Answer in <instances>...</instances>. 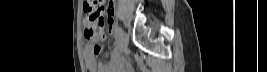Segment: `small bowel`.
I'll use <instances>...</instances> for the list:
<instances>
[{
    "mask_svg": "<svg viewBox=\"0 0 267 72\" xmlns=\"http://www.w3.org/2000/svg\"><path fill=\"white\" fill-rule=\"evenodd\" d=\"M114 12V6L113 4H109L107 8V14H108V22H111V16ZM113 58H118V53L114 52L113 53ZM84 58H85V63L90 72H113L114 69L112 66H110L107 63L100 62L98 63L96 60V53L94 51V47L90 44H87L85 46V51H84Z\"/></svg>",
    "mask_w": 267,
    "mask_h": 72,
    "instance_id": "obj_1",
    "label": "small bowel"
}]
</instances>
